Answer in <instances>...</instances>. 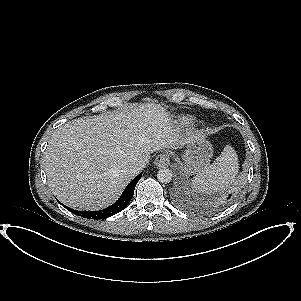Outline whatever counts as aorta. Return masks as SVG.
Here are the masks:
<instances>
[{"instance_id":"aorta-1","label":"aorta","mask_w":301,"mask_h":301,"mask_svg":"<svg viewBox=\"0 0 301 301\" xmlns=\"http://www.w3.org/2000/svg\"><path fill=\"white\" fill-rule=\"evenodd\" d=\"M157 179L161 183H169L172 180V172L169 169H160L157 173Z\"/></svg>"}]
</instances>
